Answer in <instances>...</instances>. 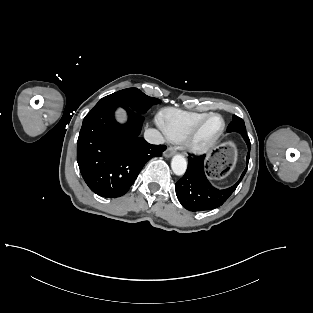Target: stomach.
Segmentation results:
<instances>
[{"label":"stomach","mask_w":313,"mask_h":313,"mask_svg":"<svg viewBox=\"0 0 313 313\" xmlns=\"http://www.w3.org/2000/svg\"><path fill=\"white\" fill-rule=\"evenodd\" d=\"M237 149L233 142L221 144L207 156V167L211 177L221 179L227 176L235 166Z\"/></svg>","instance_id":"1"}]
</instances>
